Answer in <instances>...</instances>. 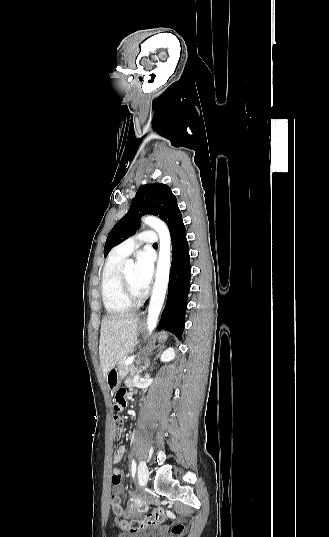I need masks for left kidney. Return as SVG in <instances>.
<instances>
[{
    "label": "left kidney",
    "mask_w": 329,
    "mask_h": 537,
    "mask_svg": "<svg viewBox=\"0 0 329 537\" xmlns=\"http://www.w3.org/2000/svg\"><path fill=\"white\" fill-rule=\"evenodd\" d=\"M175 357V352L172 347L166 349L160 356V360L163 362L171 361Z\"/></svg>",
    "instance_id": "left-kidney-1"
}]
</instances>
